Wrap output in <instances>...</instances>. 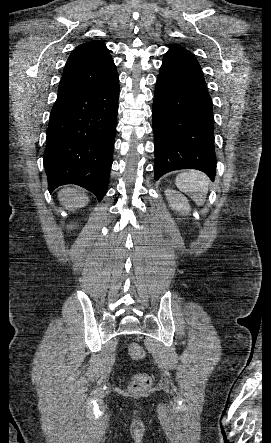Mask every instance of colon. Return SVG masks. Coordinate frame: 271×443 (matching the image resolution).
I'll return each mask as SVG.
<instances>
[{
  "mask_svg": "<svg viewBox=\"0 0 271 443\" xmlns=\"http://www.w3.org/2000/svg\"><path fill=\"white\" fill-rule=\"evenodd\" d=\"M127 354L133 360H140L144 357L145 351L138 343H130L127 346ZM151 385V378L145 373H137L132 376V381L129 385V392L131 394H139L147 390Z\"/></svg>",
  "mask_w": 271,
  "mask_h": 443,
  "instance_id": "1",
  "label": "colon"
}]
</instances>
